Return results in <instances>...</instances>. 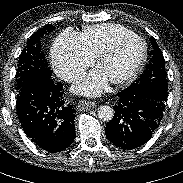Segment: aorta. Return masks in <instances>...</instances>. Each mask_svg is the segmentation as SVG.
<instances>
[{"mask_svg":"<svg viewBox=\"0 0 183 183\" xmlns=\"http://www.w3.org/2000/svg\"><path fill=\"white\" fill-rule=\"evenodd\" d=\"M98 117L102 121H110L114 117V110L108 105H102L98 108Z\"/></svg>","mask_w":183,"mask_h":183,"instance_id":"762f6f07","label":"aorta"}]
</instances>
